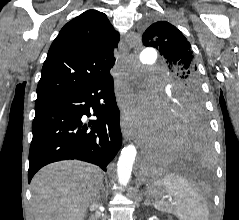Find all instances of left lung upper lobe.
<instances>
[{"instance_id":"5c2ea615","label":"left lung upper lobe","mask_w":239,"mask_h":220,"mask_svg":"<svg viewBox=\"0 0 239 220\" xmlns=\"http://www.w3.org/2000/svg\"><path fill=\"white\" fill-rule=\"evenodd\" d=\"M147 47L159 50L160 55L176 72L171 85L167 107L179 112L198 109L204 112V99L200 88V76L191 45L172 24L158 21L149 26L142 36Z\"/></svg>"}]
</instances>
